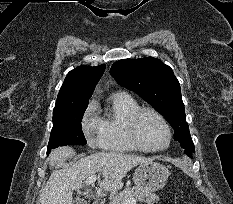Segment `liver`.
I'll return each mask as SVG.
<instances>
[{
  "label": "liver",
  "instance_id": "liver-1",
  "mask_svg": "<svg viewBox=\"0 0 233 204\" xmlns=\"http://www.w3.org/2000/svg\"><path fill=\"white\" fill-rule=\"evenodd\" d=\"M75 155L69 147L54 149L48 158L50 168L63 166ZM153 161L150 158L117 152L94 153L83 157L73 165L53 170L45 187L41 190L37 204H73V191L84 187L86 180L101 172L99 186L107 191H117L123 186V178L133 167Z\"/></svg>",
  "mask_w": 233,
  "mask_h": 204
}]
</instances>
